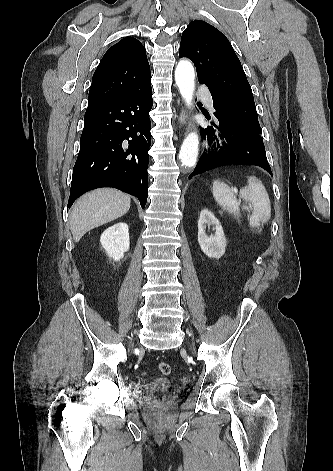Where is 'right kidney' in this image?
<instances>
[{"label":"right kidney","instance_id":"1","mask_svg":"<svg viewBox=\"0 0 333 471\" xmlns=\"http://www.w3.org/2000/svg\"><path fill=\"white\" fill-rule=\"evenodd\" d=\"M100 242L107 255L115 261L123 258L129 250V229L123 222L114 224L107 228L101 235Z\"/></svg>","mask_w":333,"mask_h":471}]
</instances>
